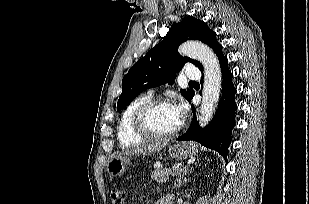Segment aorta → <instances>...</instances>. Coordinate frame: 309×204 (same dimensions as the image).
<instances>
[{"mask_svg": "<svg viewBox=\"0 0 309 204\" xmlns=\"http://www.w3.org/2000/svg\"><path fill=\"white\" fill-rule=\"evenodd\" d=\"M180 54L198 60L204 68V83L199 121L205 126L216 110L221 91V68L215 53L207 45L187 41L179 47Z\"/></svg>", "mask_w": 309, "mask_h": 204, "instance_id": "1", "label": "aorta"}]
</instances>
